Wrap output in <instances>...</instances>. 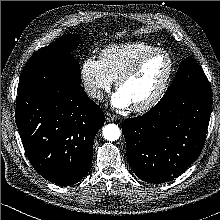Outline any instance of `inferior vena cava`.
<instances>
[{"label":"inferior vena cava","mask_w":220,"mask_h":220,"mask_svg":"<svg viewBox=\"0 0 220 220\" xmlns=\"http://www.w3.org/2000/svg\"><path fill=\"white\" fill-rule=\"evenodd\" d=\"M85 91L87 95L91 98H96L98 100L103 99V93L101 92V90L94 86H86Z\"/></svg>","instance_id":"1"}]
</instances>
